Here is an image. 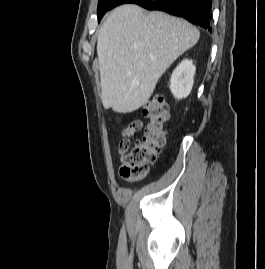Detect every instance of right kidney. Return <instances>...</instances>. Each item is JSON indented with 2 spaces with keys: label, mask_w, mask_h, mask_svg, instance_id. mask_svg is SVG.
<instances>
[{
  "label": "right kidney",
  "mask_w": 265,
  "mask_h": 269,
  "mask_svg": "<svg viewBox=\"0 0 265 269\" xmlns=\"http://www.w3.org/2000/svg\"><path fill=\"white\" fill-rule=\"evenodd\" d=\"M196 67L192 60H183L173 71L170 79V90L177 99L186 98L193 87Z\"/></svg>",
  "instance_id": "ca27d5eb"
}]
</instances>
